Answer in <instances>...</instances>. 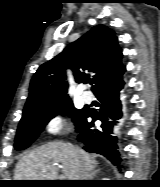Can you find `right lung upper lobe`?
<instances>
[{
	"mask_svg": "<svg viewBox=\"0 0 160 187\" xmlns=\"http://www.w3.org/2000/svg\"><path fill=\"white\" fill-rule=\"evenodd\" d=\"M122 51L115 33L97 25L59 55L39 67L30 83V94L23 113L50 108L69 99L66 69L71 68L76 82H88L92 77L96 91L99 85L114 77L124 66Z\"/></svg>",
	"mask_w": 160,
	"mask_h": 187,
	"instance_id": "right-lung-upper-lobe-1",
	"label": "right lung upper lobe"
}]
</instances>
